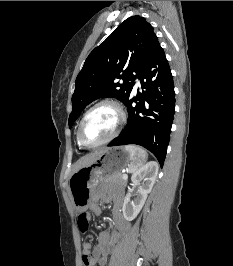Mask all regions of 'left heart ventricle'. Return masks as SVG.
Instances as JSON below:
<instances>
[{
    "label": "left heart ventricle",
    "instance_id": "1",
    "mask_svg": "<svg viewBox=\"0 0 233 266\" xmlns=\"http://www.w3.org/2000/svg\"><path fill=\"white\" fill-rule=\"evenodd\" d=\"M118 122V113L110 105L94 110L86 119L82 128V139L87 144L98 143L107 138Z\"/></svg>",
    "mask_w": 233,
    "mask_h": 266
}]
</instances>
